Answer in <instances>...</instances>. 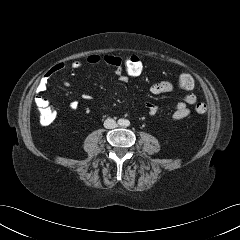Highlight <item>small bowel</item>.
<instances>
[{
  "mask_svg": "<svg viewBox=\"0 0 240 240\" xmlns=\"http://www.w3.org/2000/svg\"><path fill=\"white\" fill-rule=\"evenodd\" d=\"M120 57L114 56V55H99V54H90L87 57V62L90 65H100L102 63L107 64L108 66L112 67L114 70V73L118 76L119 80L122 82H127L128 77L122 72V70L119 68V66H116L113 64L114 60H118ZM83 64L80 61H73L71 64H65V63H57L53 65L44 75V78L40 82L38 86V94L35 96L34 102L37 106H43V105H49V101L44 98L41 93H43L47 88V81L48 79L55 73L60 71H68L70 73H75L76 71L80 70L82 68ZM64 86L71 87V83L68 81H65ZM174 88V85L171 81L163 80L156 83H153L150 86L151 93L155 95L164 94L172 91ZM82 98L84 100H91L92 96L90 94H83ZM196 102V96L193 93H188L184 96L182 101H179L172 105V114L171 117L173 120H181L187 117L190 114V106L193 105ZM69 107L71 109H77L78 108V102L77 101H71L69 103ZM146 108L148 110V113L150 115H156L158 112V107L151 103H146Z\"/></svg>",
  "mask_w": 240,
  "mask_h": 240,
  "instance_id": "c3829d8e",
  "label": "small bowel"
}]
</instances>
